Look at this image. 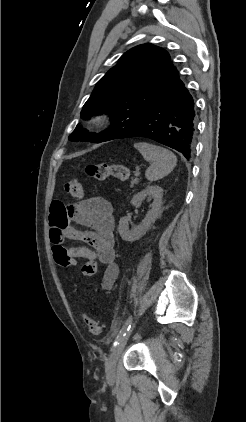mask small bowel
Returning a JSON list of instances; mask_svg holds the SVG:
<instances>
[{"label": "small bowel", "mask_w": 246, "mask_h": 422, "mask_svg": "<svg viewBox=\"0 0 246 422\" xmlns=\"http://www.w3.org/2000/svg\"><path fill=\"white\" fill-rule=\"evenodd\" d=\"M50 239L52 251L65 249L73 260L99 261L105 265L101 287L110 290L119 274L115 262L114 217L111 203L100 196L91 197L72 205L55 200L50 207ZM74 223L87 226L82 231ZM65 240L81 241L88 246L65 247Z\"/></svg>", "instance_id": "small-bowel-1"}]
</instances>
